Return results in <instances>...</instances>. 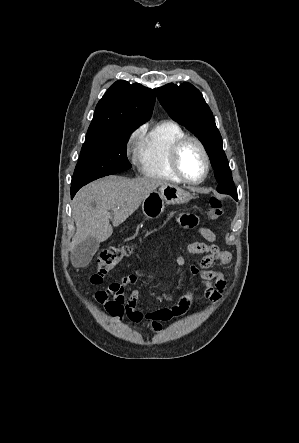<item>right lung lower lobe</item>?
Segmentation results:
<instances>
[{
    "label": "right lung lower lobe",
    "instance_id": "98d812e1",
    "mask_svg": "<svg viewBox=\"0 0 299 443\" xmlns=\"http://www.w3.org/2000/svg\"><path fill=\"white\" fill-rule=\"evenodd\" d=\"M78 190H79V189H71V198L74 197V195L76 194V192H77Z\"/></svg>",
    "mask_w": 299,
    "mask_h": 443
}]
</instances>
